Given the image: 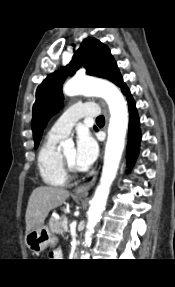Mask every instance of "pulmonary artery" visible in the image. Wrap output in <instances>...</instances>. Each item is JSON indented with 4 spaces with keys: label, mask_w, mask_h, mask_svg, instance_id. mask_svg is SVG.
I'll list each match as a JSON object with an SVG mask.
<instances>
[{
    "label": "pulmonary artery",
    "mask_w": 175,
    "mask_h": 287,
    "mask_svg": "<svg viewBox=\"0 0 175 287\" xmlns=\"http://www.w3.org/2000/svg\"><path fill=\"white\" fill-rule=\"evenodd\" d=\"M99 108L94 103L75 104L68 108L52 125L50 134L63 138L69 134L74 124L85 116H98Z\"/></svg>",
    "instance_id": "obj_1"
}]
</instances>
